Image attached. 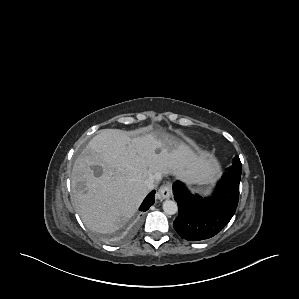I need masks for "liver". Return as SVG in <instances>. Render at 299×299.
<instances>
[{"mask_svg":"<svg viewBox=\"0 0 299 299\" xmlns=\"http://www.w3.org/2000/svg\"><path fill=\"white\" fill-rule=\"evenodd\" d=\"M218 170L208 153L197 154L162 130L131 138L119 129H103L75 160L73 204L88 229L113 233L137 211L148 193L144 181L151 175L171 173L195 184L210 182Z\"/></svg>","mask_w":299,"mask_h":299,"instance_id":"6515ba94","label":"liver"}]
</instances>
